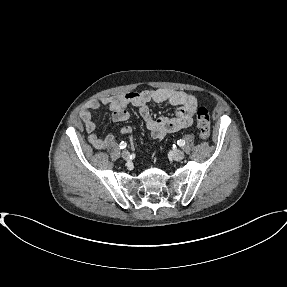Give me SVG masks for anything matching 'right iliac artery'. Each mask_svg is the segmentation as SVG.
<instances>
[{"instance_id": "82829eb1", "label": "right iliac artery", "mask_w": 287, "mask_h": 287, "mask_svg": "<svg viewBox=\"0 0 287 287\" xmlns=\"http://www.w3.org/2000/svg\"><path fill=\"white\" fill-rule=\"evenodd\" d=\"M126 146H127L126 142L122 141V142L120 143V148H121V149L126 148Z\"/></svg>"}]
</instances>
